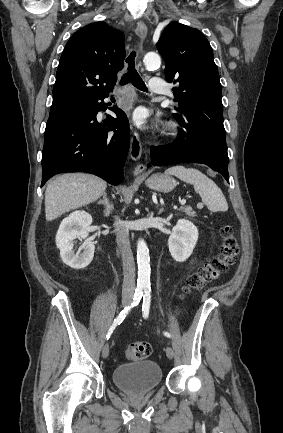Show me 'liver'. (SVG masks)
<instances>
[{
  "label": "liver",
  "instance_id": "1",
  "mask_svg": "<svg viewBox=\"0 0 283 433\" xmlns=\"http://www.w3.org/2000/svg\"><path fill=\"white\" fill-rule=\"evenodd\" d=\"M106 186L105 180L93 174L68 172L56 176L45 190L46 221H53L61 217L63 212L94 202L103 194Z\"/></svg>",
  "mask_w": 283,
  "mask_h": 433
}]
</instances>
